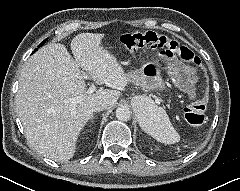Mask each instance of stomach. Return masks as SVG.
<instances>
[{"label": "stomach", "instance_id": "1", "mask_svg": "<svg viewBox=\"0 0 240 191\" xmlns=\"http://www.w3.org/2000/svg\"><path fill=\"white\" fill-rule=\"evenodd\" d=\"M126 76L128 82L144 89L163 88L165 85L161 76L160 64L156 61H149L145 63L141 68L129 71L128 73H126ZM145 112V108H136V114L140 126H143L142 122Z\"/></svg>", "mask_w": 240, "mask_h": 191}]
</instances>
